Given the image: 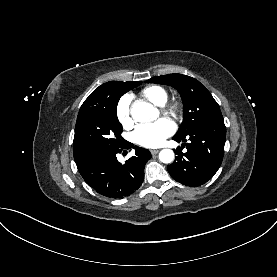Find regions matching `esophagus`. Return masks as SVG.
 <instances>
[{
	"instance_id": "34e87169",
	"label": "esophagus",
	"mask_w": 277,
	"mask_h": 277,
	"mask_svg": "<svg viewBox=\"0 0 277 277\" xmlns=\"http://www.w3.org/2000/svg\"><path fill=\"white\" fill-rule=\"evenodd\" d=\"M150 152H151L152 155H155V154L159 153V150L158 149H152V150H150Z\"/></svg>"
}]
</instances>
